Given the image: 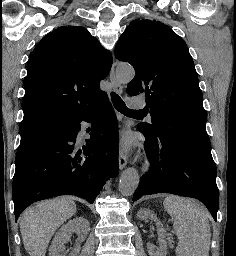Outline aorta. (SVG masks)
<instances>
[{"label":"aorta","instance_id":"762f6f07","mask_svg":"<svg viewBox=\"0 0 236 256\" xmlns=\"http://www.w3.org/2000/svg\"><path fill=\"white\" fill-rule=\"evenodd\" d=\"M135 75L133 67L121 64L116 69V77L122 84H128ZM139 184V174L135 168H127L123 171L119 181V191L123 196H130L134 193Z\"/></svg>","mask_w":236,"mask_h":256}]
</instances>
